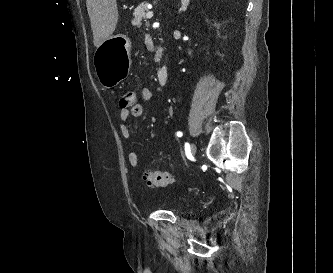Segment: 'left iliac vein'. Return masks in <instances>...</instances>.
<instances>
[{
  "instance_id": "4c4485c4",
  "label": "left iliac vein",
  "mask_w": 333,
  "mask_h": 273,
  "mask_svg": "<svg viewBox=\"0 0 333 273\" xmlns=\"http://www.w3.org/2000/svg\"><path fill=\"white\" fill-rule=\"evenodd\" d=\"M190 151H191V155L195 156L196 155V145L194 143L191 144L190 146Z\"/></svg>"
}]
</instances>
